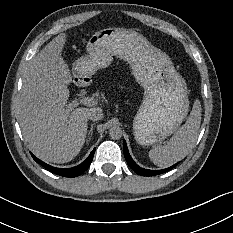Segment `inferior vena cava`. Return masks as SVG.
Returning <instances> with one entry per match:
<instances>
[{
  "instance_id": "1",
  "label": "inferior vena cava",
  "mask_w": 233,
  "mask_h": 233,
  "mask_svg": "<svg viewBox=\"0 0 233 233\" xmlns=\"http://www.w3.org/2000/svg\"><path fill=\"white\" fill-rule=\"evenodd\" d=\"M103 117L104 113L101 108H94L88 116V118L92 121L101 120Z\"/></svg>"
}]
</instances>
